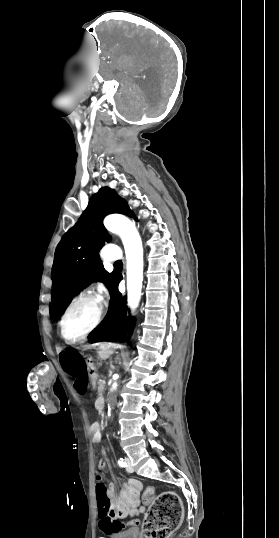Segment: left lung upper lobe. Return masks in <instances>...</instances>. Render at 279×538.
I'll use <instances>...</instances> for the list:
<instances>
[{
	"instance_id": "obj_1",
	"label": "left lung upper lobe",
	"mask_w": 279,
	"mask_h": 538,
	"mask_svg": "<svg viewBox=\"0 0 279 538\" xmlns=\"http://www.w3.org/2000/svg\"><path fill=\"white\" fill-rule=\"evenodd\" d=\"M111 213H121L136 219L123 198L114 190L103 187L90 198L78 222L58 244L52 273L53 301L50 303L53 320L59 319L72 298L93 281L103 282L112 298L106 317L95 330L101 328L114 311L112 296L117 274L104 270L98 254L104 242L111 239L102 224L103 218Z\"/></svg>"
}]
</instances>
